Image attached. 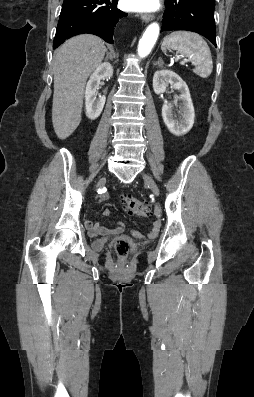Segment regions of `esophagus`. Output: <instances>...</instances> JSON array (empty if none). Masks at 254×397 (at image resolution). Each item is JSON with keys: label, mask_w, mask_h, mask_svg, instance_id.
I'll return each mask as SVG.
<instances>
[{"label": "esophagus", "mask_w": 254, "mask_h": 397, "mask_svg": "<svg viewBox=\"0 0 254 397\" xmlns=\"http://www.w3.org/2000/svg\"><path fill=\"white\" fill-rule=\"evenodd\" d=\"M153 18H154V16L151 15V14H143L141 16L142 21L145 22V23H148V22L152 21Z\"/></svg>", "instance_id": "obj_1"}]
</instances>
